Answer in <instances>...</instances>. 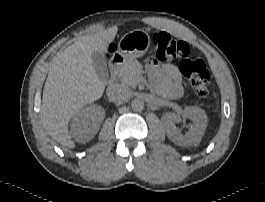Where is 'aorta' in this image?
<instances>
[{
	"label": "aorta",
	"mask_w": 265,
	"mask_h": 202,
	"mask_svg": "<svg viewBox=\"0 0 265 202\" xmlns=\"http://www.w3.org/2000/svg\"><path fill=\"white\" fill-rule=\"evenodd\" d=\"M131 107L136 112L142 111L144 109V101L140 98H135L131 102Z\"/></svg>",
	"instance_id": "1"
}]
</instances>
